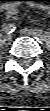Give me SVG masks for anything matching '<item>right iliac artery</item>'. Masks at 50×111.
<instances>
[{
  "label": "right iliac artery",
  "mask_w": 50,
  "mask_h": 111,
  "mask_svg": "<svg viewBox=\"0 0 50 111\" xmlns=\"http://www.w3.org/2000/svg\"><path fill=\"white\" fill-rule=\"evenodd\" d=\"M15 29H16L15 24L10 23L4 27L3 31L6 33H12L13 31H15Z\"/></svg>",
  "instance_id": "right-iliac-artery-1"
}]
</instances>
